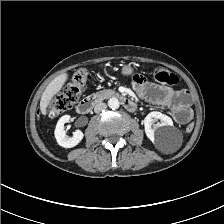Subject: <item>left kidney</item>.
<instances>
[{"instance_id":"5707ae66","label":"left kidney","mask_w":224,"mask_h":224,"mask_svg":"<svg viewBox=\"0 0 224 224\" xmlns=\"http://www.w3.org/2000/svg\"><path fill=\"white\" fill-rule=\"evenodd\" d=\"M160 120V123L154 125L152 124ZM173 121L167 115L161 112L153 111L150 112L144 119V128L146 136L153 142L160 145H165L169 142L167 126H172Z\"/></svg>"}]
</instances>
